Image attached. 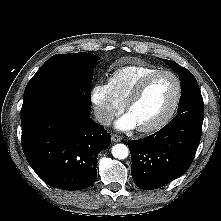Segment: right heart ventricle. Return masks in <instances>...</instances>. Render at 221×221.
<instances>
[{
    "instance_id": "1",
    "label": "right heart ventricle",
    "mask_w": 221,
    "mask_h": 221,
    "mask_svg": "<svg viewBox=\"0 0 221 221\" xmlns=\"http://www.w3.org/2000/svg\"><path fill=\"white\" fill-rule=\"evenodd\" d=\"M159 68L146 64L127 65L116 69L108 78L109 86L115 99L124 105L137 83L146 75Z\"/></svg>"
}]
</instances>
